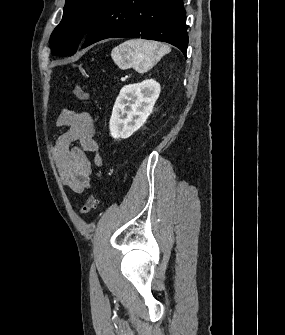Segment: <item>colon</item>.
Instances as JSON below:
<instances>
[{"label": "colon", "mask_w": 285, "mask_h": 335, "mask_svg": "<svg viewBox=\"0 0 285 335\" xmlns=\"http://www.w3.org/2000/svg\"><path fill=\"white\" fill-rule=\"evenodd\" d=\"M73 93L80 100H90L91 99L90 93L83 90L78 84H75L73 86ZM96 204H97V194L93 193L88 197L86 202L81 207V210H80L81 214L82 215L88 214L96 207Z\"/></svg>", "instance_id": "1"}]
</instances>
